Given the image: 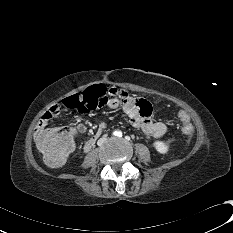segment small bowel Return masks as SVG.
<instances>
[{
  "mask_svg": "<svg viewBox=\"0 0 233 233\" xmlns=\"http://www.w3.org/2000/svg\"><path fill=\"white\" fill-rule=\"evenodd\" d=\"M110 109H121L130 119L131 124L140 128L149 139L158 140L167 131V126L164 122L155 121L151 117L154 115V105L144 98L137 97L129 91L118 86L110 87L109 91L99 100L97 107ZM65 106L63 101L51 106L40 118L36 129L43 130L48 122L59 115ZM105 128V123L99 127L100 130ZM86 127L84 124H79L76 128L78 133H84ZM100 138V133L93 135L84 145V152H88Z\"/></svg>",
  "mask_w": 233,
  "mask_h": 233,
  "instance_id": "obj_1",
  "label": "small bowel"
}]
</instances>
